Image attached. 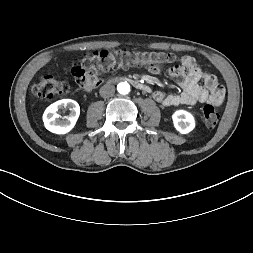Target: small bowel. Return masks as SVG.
Wrapping results in <instances>:
<instances>
[{"label":"small bowel","instance_id":"1","mask_svg":"<svg viewBox=\"0 0 253 253\" xmlns=\"http://www.w3.org/2000/svg\"><path fill=\"white\" fill-rule=\"evenodd\" d=\"M166 71L176 79L181 91L166 94L163 91L153 92V99L164 107L177 105H197L208 102L220 106L225 99V90L211 73L202 70L191 57L185 56L178 66H168L165 70L162 62H153L147 67L150 76L162 77ZM201 83V84H200Z\"/></svg>","mask_w":253,"mask_h":253}]
</instances>
